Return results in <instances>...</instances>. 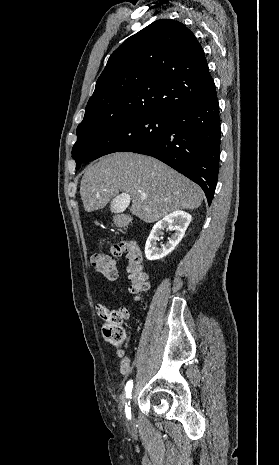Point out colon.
<instances>
[{"label":"colon","mask_w":279,"mask_h":465,"mask_svg":"<svg viewBox=\"0 0 279 465\" xmlns=\"http://www.w3.org/2000/svg\"><path fill=\"white\" fill-rule=\"evenodd\" d=\"M126 254L128 259V282L130 292L139 297L149 288V278L144 266V258L141 249L135 242L120 240L114 242L109 253L93 252L91 262L95 269L109 280L118 277L116 258ZM99 315L104 320L103 334L114 346L120 347L126 341L124 322L128 318L125 309L108 310L100 306Z\"/></svg>","instance_id":"1"}]
</instances>
